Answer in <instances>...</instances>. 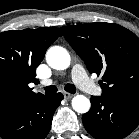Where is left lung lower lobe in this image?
<instances>
[{
    "label": "left lung lower lobe",
    "instance_id": "obj_1",
    "mask_svg": "<svg viewBox=\"0 0 139 139\" xmlns=\"http://www.w3.org/2000/svg\"><path fill=\"white\" fill-rule=\"evenodd\" d=\"M87 132L97 139H122L139 124V91L112 99L91 97V109L82 116Z\"/></svg>",
    "mask_w": 139,
    "mask_h": 139
}]
</instances>
